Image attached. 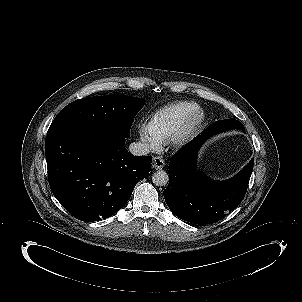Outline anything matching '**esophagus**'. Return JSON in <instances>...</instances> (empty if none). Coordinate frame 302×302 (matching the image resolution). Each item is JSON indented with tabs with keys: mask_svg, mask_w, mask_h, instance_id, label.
I'll return each instance as SVG.
<instances>
[{
	"mask_svg": "<svg viewBox=\"0 0 302 302\" xmlns=\"http://www.w3.org/2000/svg\"><path fill=\"white\" fill-rule=\"evenodd\" d=\"M165 165V161L162 157L156 156L153 158L152 166L156 170H161Z\"/></svg>",
	"mask_w": 302,
	"mask_h": 302,
	"instance_id": "1",
	"label": "esophagus"
}]
</instances>
